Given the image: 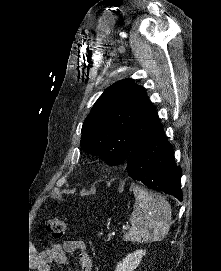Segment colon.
<instances>
[{"instance_id":"colon-1","label":"colon","mask_w":221,"mask_h":271,"mask_svg":"<svg viewBox=\"0 0 221 271\" xmlns=\"http://www.w3.org/2000/svg\"><path fill=\"white\" fill-rule=\"evenodd\" d=\"M46 229L53 237L59 239L64 234V221L62 218L56 216H48L46 219Z\"/></svg>"}]
</instances>
